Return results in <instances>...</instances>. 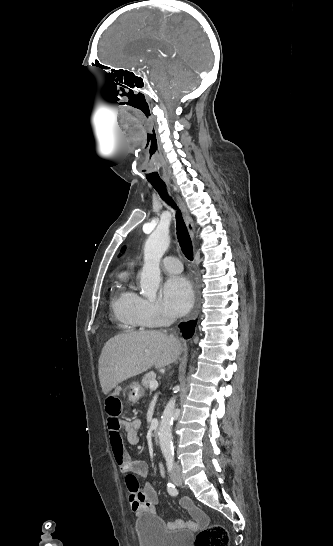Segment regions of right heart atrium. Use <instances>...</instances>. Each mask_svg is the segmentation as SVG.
<instances>
[{
	"label": "right heart atrium",
	"mask_w": 333,
	"mask_h": 546,
	"mask_svg": "<svg viewBox=\"0 0 333 546\" xmlns=\"http://www.w3.org/2000/svg\"><path fill=\"white\" fill-rule=\"evenodd\" d=\"M134 310L141 322L146 326H156L168 321V317L162 307L152 301L137 296Z\"/></svg>",
	"instance_id": "d8ad5b80"
}]
</instances>
